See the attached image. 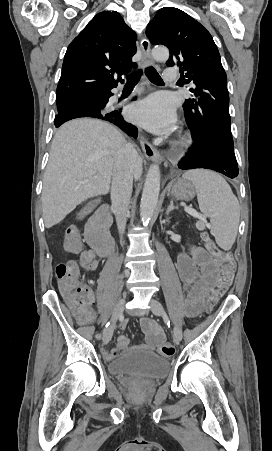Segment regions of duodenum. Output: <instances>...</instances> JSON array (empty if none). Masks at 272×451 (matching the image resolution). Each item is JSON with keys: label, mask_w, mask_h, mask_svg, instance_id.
I'll list each match as a JSON object with an SVG mask.
<instances>
[{"label": "duodenum", "mask_w": 272, "mask_h": 451, "mask_svg": "<svg viewBox=\"0 0 272 451\" xmlns=\"http://www.w3.org/2000/svg\"><path fill=\"white\" fill-rule=\"evenodd\" d=\"M111 217L107 206H102L89 221L85 230V238L89 246L100 256L108 257L114 247L110 233Z\"/></svg>", "instance_id": "410a0bca"}]
</instances>
